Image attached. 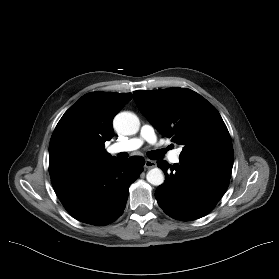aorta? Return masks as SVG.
I'll use <instances>...</instances> for the list:
<instances>
[{"instance_id":"1","label":"aorta","mask_w":279,"mask_h":279,"mask_svg":"<svg viewBox=\"0 0 279 279\" xmlns=\"http://www.w3.org/2000/svg\"><path fill=\"white\" fill-rule=\"evenodd\" d=\"M114 127L120 134L134 135L139 130L140 121L134 113L121 112L114 118ZM146 179L150 184L159 186L164 182V175L161 169L153 168L148 171Z\"/></svg>"}]
</instances>
